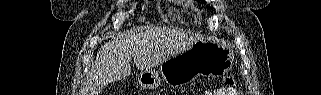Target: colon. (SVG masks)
I'll use <instances>...</instances> for the list:
<instances>
[{
    "mask_svg": "<svg viewBox=\"0 0 321 95\" xmlns=\"http://www.w3.org/2000/svg\"><path fill=\"white\" fill-rule=\"evenodd\" d=\"M223 84L227 87H235L237 85V81L233 76L227 75L223 77Z\"/></svg>",
    "mask_w": 321,
    "mask_h": 95,
    "instance_id": "obj_1",
    "label": "colon"
}]
</instances>
